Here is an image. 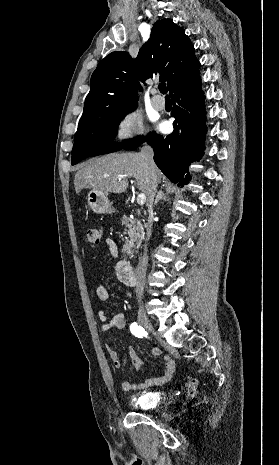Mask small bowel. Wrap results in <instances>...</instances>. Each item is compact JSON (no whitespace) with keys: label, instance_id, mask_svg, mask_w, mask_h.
I'll return each instance as SVG.
<instances>
[{"label":"small bowel","instance_id":"1","mask_svg":"<svg viewBox=\"0 0 279 465\" xmlns=\"http://www.w3.org/2000/svg\"><path fill=\"white\" fill-rule=\"evenodd\" d=\"M106 246L109 252L111 253V255L114 258H117L118 247L115 241L110 238L106 239ZM117 274H118V271H117ZM118 278H119V275H118ZM96 294L99 300L101 301H106L109 298L108 289L104 285H99L97 287ZM99 317L101 321L103 322L101 330L104 333L109 332L111 330H121L125 328L126 326L125 316L121 312L115 314L110 320H108L106 312L101 310L99 312ZM107 350H108V355L110 357V360L114 368L120 369L122 367V362L118 356V353L110 347H108ZM128 350H129V355L131 357L133 366L136 369H140L144 365L143 360L140 358V356L137 354V352L132 346H130ZM160 353L161 352L159 348L157 347H153L151 349V354L153 356H159ZM174 372H175V364L173 360L169 356L166 355L164 356V371L160 376L147 378L141 383H132L129 381H123L121 383V388L123 391L129 392V391L146 389L154 385H162L168 382L172 378Z\"/></svg>","mask_w":279,"mask_h":465}]
</instances>
